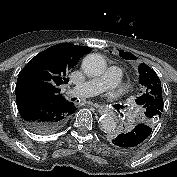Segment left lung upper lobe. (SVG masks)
Instances as JSON below:
<instances>
[{"label":"left lung upper lobe","mask_w":177,"mask_h":177,"mask_svg":"<svg viewBox=\"0 0 177 177\" xmlns=\"http://www.w3.org/2000/svg\"><path fill=\"white\" fill-rule=\"evenodd\" d=\"M121 56L124 57V52L121 53ZM138 71L142 90L135 102L142 109L141 122L154 127L163 113L161 82L156 72L145 63L138 66Z\"/></svg>","instance_id":"5c2ea615"}]
</instances>
